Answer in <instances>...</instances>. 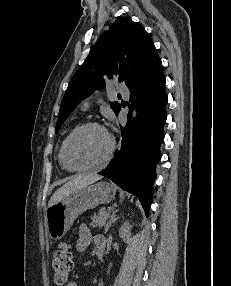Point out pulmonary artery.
Returning a JSON list of instances; mask_svg holds the SVG:
<instances>
[{
  "instance_id": "pulmonary-artery-1",
  "label": "pulmonary artery",
  "mask_w": 231,
  "mask_h": 286,
  "mask_svg": "<svg viewBox=\"0 0 231 286\" xmlns=\"http://www.w3.org/2000/svg\"><path fill=\"white\" fill-rule=\"evenodd\" d=\"M116 91L120 94H123L125 96H128L129 95V89L127 88V86H125L124 84L122 83H118L116 84ZM89 100H85L83 103H82V107L83 109H87L89 107Z\"/></svg>"
}]
</instances>
